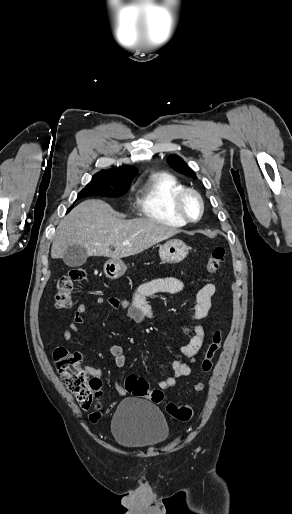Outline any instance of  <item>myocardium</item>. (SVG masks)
Segmentation results:
<instances>
[{"instance_id": "f54148a6", "label": "myocardium", "mask_w": 292, "mask_h": 514, "mask_svg": "<svg viewBox=\"0 0 292 514\" xmlns=\"http://www.w3.org/2000/svg\"><path fill=\"white\" fill-rule=\"evenodd\" d=\"M187 195H192L198 203L199 212H198V216L196 218L189 217L183 211L182 201H183L184 197ZM171 208H172L173 213L177 217H179L180 219L185 221L186 223H193V222L199 221L202 218L203 213H204V203H203V199H202L200 193L198 191H196L195 189L189 188V187H182L181 189L175 191L172 194Z\"/></svg>"}]
</instances>
